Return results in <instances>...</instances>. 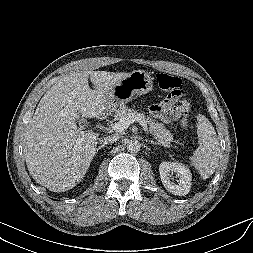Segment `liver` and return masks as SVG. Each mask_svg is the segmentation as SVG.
Segmentation results:
<instances>
[{
  "label": "liver",
  "instance_id": "6515ba94",
  "mask_svg": "<svg viewBox=\"0 0 253 253\" xmlns=\"http://www.w3.org/2000/svg\"><path fill=\"white\" fill-rule=\"evenodd\" d=\"M128 74L68 73L44 94L24 133L25 161L37 183L64 192L83 179L95 156L99 134L80 131L76 121L80 115H102L111 89ZM89 77L95 90L89 87Z\"/></svg>",
  "mask_w": 253,
  "mask_h": 253
}]
</instances>
